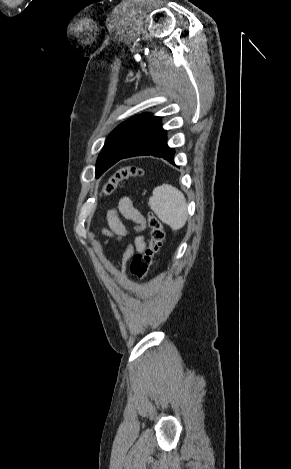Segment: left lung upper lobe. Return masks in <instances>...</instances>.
<instances>
[{"label":"left lung upper lobe","instance_id":"left-lung-upper-lobe-1","mask_svg":"<svg viewBox=\"0 0 291 469\" xmlns=\"http://www.w3.org/2000/svg\"><path fill=\"white\" fill-rule=\"evenodd\" d=\"M161 126L160 117L144 113L123 122L107 137L96 163V178L145 136Z\"/></svg>","mask_w":291,"mask_h":469}]
</instances>
